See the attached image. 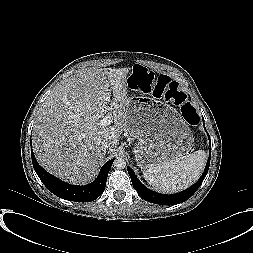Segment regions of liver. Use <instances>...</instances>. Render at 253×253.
Listing matches in <instances>:
<instances>
[{"label":"liver","instance_id":"6515ba94","mask_svg":"<svg viewBox=\"0 0 253 253\" xmlns=\"http://www.w3.org/2000/svg\"><path fill=\"white\" fill-rule=\"evenodd\" d=\"M129 71L81 69L51 91L32 131L35 157L43 168L74 184L95 177L126 130ZM107 113L114 125L101 127L100 119ZM104 143L110 145L107 151L102 148Z\"/></svg>","mask_w":253,"mask_h":253}]
</instances>
